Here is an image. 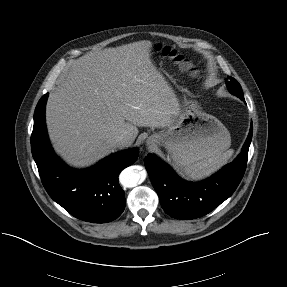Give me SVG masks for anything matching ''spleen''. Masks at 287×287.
<instances>
[{"instance_id":"spleen-1","label":"spleen","mask_w":287,"mask_h":287,"mask_svg":"<svg viewBox=\"0 0 287 287\" xmlns=\"http://www.w3.org/2000/svg\"><path fill=\"white\" fill-rule=\"evenodd\" d=\"M232 155L233 150H228L225 153L208 158L206 160H202L195 163L194 165L186 167L185 172L192 179L200 180L219 170L228 162Z\"/></svg>"}]
</instances>
